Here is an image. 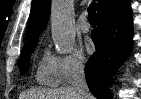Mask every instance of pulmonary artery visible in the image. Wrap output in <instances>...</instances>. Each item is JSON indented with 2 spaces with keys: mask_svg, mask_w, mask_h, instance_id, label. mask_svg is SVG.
Listing matches in <instances>:
<instances>
[{
  "mask_svg": "<svg viewBox=\"0 0 141 99\" xmlns=\"http://www.w3.org/2000/svg\"><path fill=\"white\" fill-rule=\"evenodd\" d=\"M78 28L82 32H88L90 30V24L87 20V14L84 12L81 14L79 21H78Z\"/></svg>",
  "mask_w": 141,
  "mask_h": 99,
  "instance_id": "obj_1",
  "label": "pulmonary artery"
}]
</instances>
